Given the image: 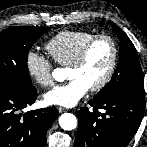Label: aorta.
Instances as JSON below:
<instances>
[{
    "instance_id": "1",
    "label": "aorta",
    "mask_w": 147,
    "mask_h": 147,
    "mask_svg": "<svg viewBox=\"0 0 147 147\" xmlns=\"http://www.w3.org/2000/svg\"><path fill=\"white\" fill-rule=\"evenodd\" d=\"M52 77L58 82L64 81V70L61 68L54 69L52 72ZM59 124L62 129L70 131L76 128L77 118L71 113H64L59 117Z\"/></svg>"
}]
</instances>
